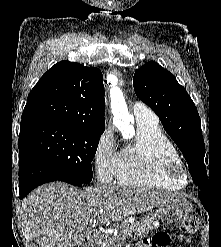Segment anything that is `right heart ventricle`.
I'll list each match as a JSON object with an SVG mask.
<instances>
[{"label": "right heart ventricle", "mask_w": 221, "mask_h": 247, "mask_svg": "<svg viewBox=\"0 0 221 247\" xmlns=\"http://www.w3.org/2000/svg\"><path fill=\"white\" fill-rule=\"evenodd\" d=\"M168 159L180 156L158 122H137L135 138L118 153L115 178L121 185L180 190L184 183L164 172Z\"/></svg>", "instance_id": "1"}]
</instances>
